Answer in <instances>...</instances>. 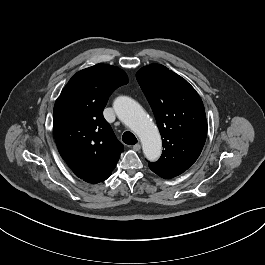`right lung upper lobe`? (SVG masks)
I'll return each instance as SVG.
<instances>
[{
	"mask_svg": "<svg viewBox=\"0 0 265 265\" xmlns=\"http://www.w3.org/2000/svg\"><path fill=\"white\" fill-rule=\"evenodd\" d=\"M128 83L126 73L97 64L77 72L62 90L53 110V132L63 160L74 174L95 183L116 166L124 146L103 117L109 96Z\"/></svg>",
	"mask_w": 265,
	"mask_h": 265,
	"instance_id": "obj_1",
	"label": "right lung upper lobe"
}]
</instances>
